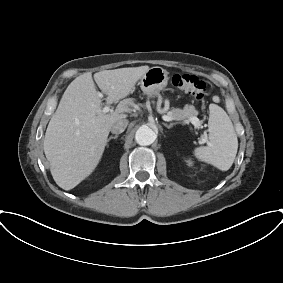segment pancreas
I'll list each match as a JSON object with an SVG mask.
<instances>
[{"label":"pancreas","instance_id":"pancreas-1","mask_svg":"<svg viewBox=\"0 0 283 283\" xmlns=\"http://www.w3.org/2000/svg\"><path fill=\"white\" fill-rule=\"evenodd\" d=\"M167 114L168 116H171L174 120L180 121L190 119L191 117H196L198 115V111L193 105H186L183 109H172Z\"/></svg>","mask_w":283,"mask_h":283}]
</instances>
